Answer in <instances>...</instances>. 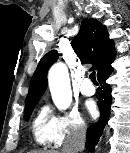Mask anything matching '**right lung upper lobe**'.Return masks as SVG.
Masks as SVG:
<instances>
[{
    "label": "right lung upper lobe",
    "mask_w": 130,
    "mask_h": 153,
    "mask_svg": "<svg viewBox=\"0 0 130 153\" xmlns=\"http://www.w3.org/2000/svg\"><path fill=\"white\" fill-rule=\"evenodd\" d=\"M75 53L82 63H92L91 70H97V75L105 71L114 60V42L109 39L105 26L93 18L84 19L81 29L71 42ZM58 59L56 50L45 54L33 74L26 105L37 103L47 88V71Z\"/></svg>",
    "instance_id": "obj_1"
}]
</instances>
